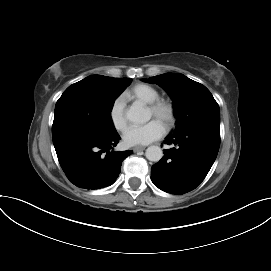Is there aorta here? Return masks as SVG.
<instances>
[{
  "mask_svg": "<svg viewBox=\"0 0 271 271\" xmlns=\"http://www.w3.org/2000/svg\"><path fill=\"white\" fill-rule=\"evenodd\" d=\"M149 111L140 103H133L126 112V118L136 124H143L150 120ZM146 158L153 162H158L163 157V151L159 146H149L145 152Z\"/></svg>",
  "mask_w": 271,
  "mask_h": 271,
  "instance_id": "762f6f07",
  "label": "aorta"
}]
</instances>
